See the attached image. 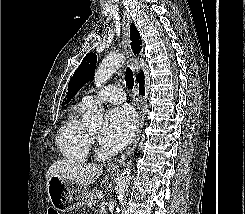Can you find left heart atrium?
Masks as SVG:
<instances>
[{
  "label": "left heart atrium",
  "instance_id": "39dd6f15",
  "mask_svg": "<svg viewBox=\"0 0 245 214\" xmlns=\"http://www.w3.org/2000/svg\"><path fill=\"white\" fill-rule=\"evenodd\" d=\"M136 127L133 111L127 106L113 109L106 116L99 140L107 153H116L132 139Z\"/></svg>",
  "mask_w": 245,
  "mask_h": 214
}]
</instances>
